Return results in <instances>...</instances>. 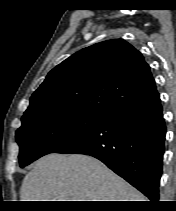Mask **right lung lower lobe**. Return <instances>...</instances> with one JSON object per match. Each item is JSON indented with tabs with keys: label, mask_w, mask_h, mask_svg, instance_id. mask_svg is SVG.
I'll list each match as a JSON object with an SVG mask.
<instances>
[{
	"label": "right lung lower lobe",
	"mask_w": 176,
	"mask_h": 211,
	"mask_svg": "<svg viewBox=\"0 0 176 211\" xmlns=\"http://www.w3.org/2000/svg\"><path fill=\"white\" fill-rule=\"evenodd\" d=\"M166 126L160 96L115 111L56 153L98 158L151 201L159 198Z\"/></svg>",
	"instance_id": "1"
}]
</instances>
